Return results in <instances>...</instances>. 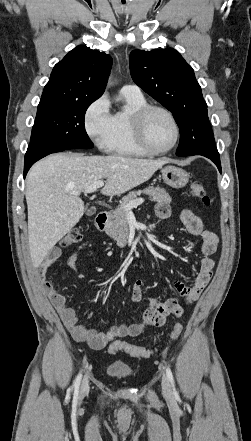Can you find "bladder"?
<instances>
[{
    "label": "bladder",
    "mask_w": 251,
    "mask_h": 441,
    "mask_svg": "<svg viewBox=\"0 0 251 441\" xmlns=\"http://www.w3.org/2000/svg\"><path fill=\"white\" fill-rule=\"evenodd\" d=\"M106 374L115 379H127L133 376V370L123 364H111L106 368Z\"/></svg>",
    "instance_id": "1"
}]
</instances>
